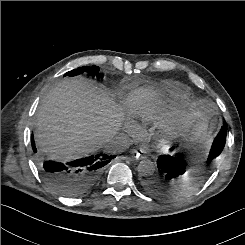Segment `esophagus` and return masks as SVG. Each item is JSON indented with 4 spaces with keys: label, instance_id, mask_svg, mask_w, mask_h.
I'll return each instance as SVG.
<instances>
[{
    "label": "esophagus",
    "instance_id": "obj_1",
    "mask_svg": "<svg viewBox=\"0 0 245 245\" xmlns=\"http://www.w3.org/2000/svg\"><path fill=\"white\" fill-rule=\"evenodd\" d=\"M131 154L133 155V158L137 160L147 158V151L144 148L133 149L131 150Z\"/></svg>",
    "mask_w": 245,
    "mask_h": 245
}]
</instances>
